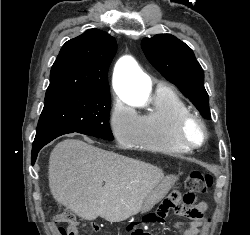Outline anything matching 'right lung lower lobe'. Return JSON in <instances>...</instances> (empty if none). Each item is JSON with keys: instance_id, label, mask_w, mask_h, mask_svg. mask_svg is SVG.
Masks as SVG:
<instances>
[{"instance_id": "right-lung-lower-lobe-1", "label": "right lung lower lobe", "mask_w": 250, "mask_h": 235, "mask_svg": "<svg viewBox=\"0 0 250 235\" xmlns=\"http://www.w3.org/2000/svg\"><path fill=\"white\" fill-rule=\"evenodd\" d=\"M74 131L64 128H51L42 130L36 133L33 148H32V165H34L38 152L40 149L48 144L53 139L68 133H73Z\"/></svg>"}]
</instances>
